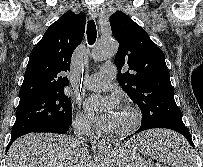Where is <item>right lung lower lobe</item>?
<instances>
[{
	"instance_id": "obj_1",
	"label": "right lung lower lobe",
	"mask_w": 203,
	"mask_h": 167,
	"mask_svg": "<svg viewBox=\"0 0 203 167\" xmlns=\"http://www.w3.org/2000/svg\"><path fill=\"white\" fill-rule=\"evenodd\" d=\"M71 128V125H64V126H54V127H47V128H43L40 130H37L35 132H50V133H66L67 131H69V129ZM18 137L15 138H11V141L9 142L7 149H9V147L11 146V144L17 139Z\"/></svg>"
}]
</instances>
